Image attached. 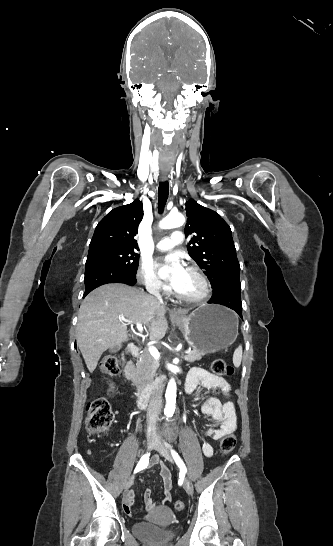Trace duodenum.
<instances>
[{"mask_svg":"<svg viewBox=\"0 0 333 546\" xmlns=\"http://www.w3.org/2000/svg\"><path fill=\"white\" fill-rule=\"evenodd\" d=\"M137 346L130 344L124 352L123 376L125 381L132 387L135 402L138 407H146L150 403H156L161 397L166 380L161 378L150 389L140 388L134 382V366L133 360L139 356Z\"/></svg>","mask_w":333,"mask_h":546,"instance_id":"duodenum-1","label":"duodenum"}]
</instances>
